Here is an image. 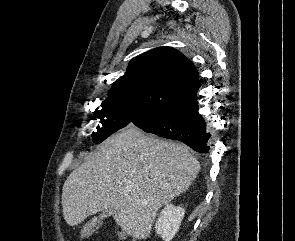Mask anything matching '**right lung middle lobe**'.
<instances>
[{
  "instance_id": "1",
  "label": "right lung middle lobe",
  "mask_w": 295,
  "mask_h": 241,
  "mask_svg": "<svg viewBox=\"0 0 295 241\" xmlns=\"http://www.w3.org/2000/svg\"><path fill=\"white\" fill-rule=\"evenodd\" d=\"M163 111L141 106L137 103L111 99L103 101L100 109H96L94 116L100 119L97 131L92 134L95 143H101L111 134L127 125L134 124L143 127L161 117Z\"/></svg>"
}]
</instances>
